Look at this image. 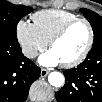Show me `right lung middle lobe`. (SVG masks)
Instances as JSON below:
<instances>
[{
	"label": "right lung middle lobe",
	"mask_w": 102,
	"mask_h": 102,
	"mask_svg": "<svg viewBox=\"0 0 102 102\" xmlns=\"http://www.w3.org/2000/svg\"><path fill=\"white\" fill-rule=\"evenodd\" d=\"M31 7L0 2V39L17 41L16 28L22 17L32 12Z\"/></svg>",
	"instance_id": "obj_1"
}]
</instances>
